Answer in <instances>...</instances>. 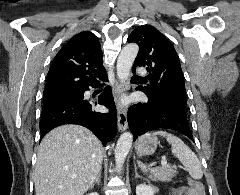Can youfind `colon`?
<instances>
[{"mask_svg":"<svg viewBox=\"0 0 240 195\" xmlns=\"http://www.w3.org/2000/svg\"><path fill=\"white\" fill-rule=\"evenodd\" d=\"M187 182H190V189L193 190L194 193H197V195H202V182L198 181L197 184H195V180H191L190 177L186 178Z\"/></svg>","mask_w":240,"mask_h":195,"instance_id":"obj_1","label":"colon"}]
</instances>
